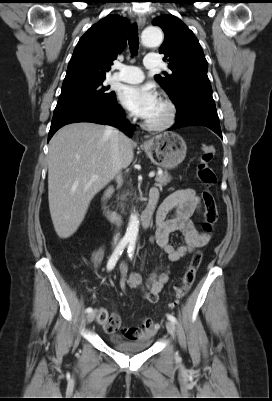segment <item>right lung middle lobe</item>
<instances>
[{
	"instance_id": "dd1d6c3e",
	"label": "right lung middle lobe",
	"mask_w": 272,
	"mask_h": 401,
	"mask_svg": "<svg viewBox=\"0 0 272 401\" xmlns=\"http://www.w3.org/2000/svg\"><path fill=\"white\" fill-rule=\"evenodd\" d=\"M104 80L62 90L54 114L80 106L106 107L116 100L114 91L103 85Z\"/></svg>"
}]
</instances>
